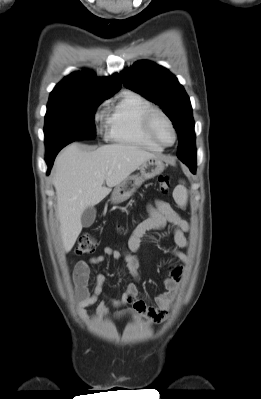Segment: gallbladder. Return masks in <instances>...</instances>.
<instances>
[{"label": "gallbladder", "instance_id": "gallbladder-1", "mask_svg": "<svg viewBox=\"0 0 261 399\" xmlns=\"http://www.w3.org/2000/svg\"><path fill=\"white\" fill-rule=\"evenodd\" d=\"M96 218V209L92 206L87 207L81 215V223L85 228L90 227Z\"/></svg>", "mask_w": 261, "mask_h": 399}]
</instances>
